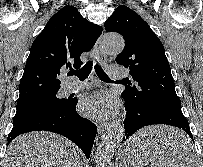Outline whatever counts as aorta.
Returning a JSON list of instances; mask_svg holds the SVG:
<instances>
[{
    "label": "aorta",
    "instance_id": "1",
    "mask_svg": "<svg viewBox=\"0 0 203 167\" xmlns=\"http://www.w3.org/2000/svg\"><path fill=\"white\" fill-rule=\"evenodd\" d=\"M124 46V40L118 34H106L102 39V48L109 54L121 53ZM124 136L125 129L121 123H116L104 134L95 152L98 167H105L110 162Z\"/></svg>",
    "mask_w": 203,
    "mask_h": 167
}]
</instances>
